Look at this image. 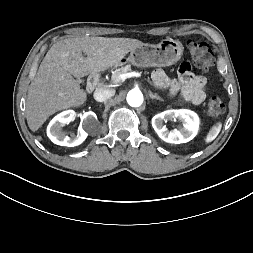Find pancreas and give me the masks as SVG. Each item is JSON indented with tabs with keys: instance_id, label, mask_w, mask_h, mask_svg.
Segmentation results:
<instances>
[{
	"instance_id": "pancreas-1",
	"label": "pancreas",
	"mask_w": 253,
	"mask_h": 253,
	"mask_svg": "<svg viewBox=\"0 0 253 253\" xmlns=\"http://www.w3.org/2000/svg\"><path fill=\"white\" fill-rule=\"evenodd\" d=\"M131 71H132V69H131L130 65L115 69V71L113 72V75H112V79L115 80L118 75L125 74V73L131 72Z\"/></svg>"
}]
</instances>
